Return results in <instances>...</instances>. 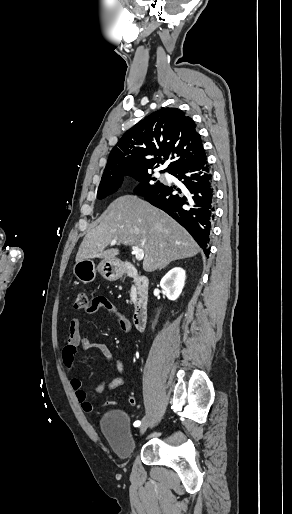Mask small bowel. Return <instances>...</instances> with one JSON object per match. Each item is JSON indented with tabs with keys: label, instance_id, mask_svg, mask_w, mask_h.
<instances>
[{
	"label": "small bowel",
	"instance_id": "1",
	"mask_svg": "<svg viewBox=\"0 0 292 514\" xmlns=\"http://www.w3.org/2000/svg\"><path fill=\"white\" fill-rule=\"evenodd\" d=\"M99 309H105L108 312L114 313L115 308L113 303L104 295H97L92 298L89 309L87 310V313H94L98 311ZM119 324L121 328L126 333L132 332V327L130 324L123 319L122 317H118ZM89 349H96L99 352L102 353V355L105 358L106 362H110L113 360V353L110 347L101 341H91L88 337L83 336L81 334L80 329V319L75 317L72 318L69 323L68 328V338L67 342L62 350V361L66 367V369L69 372H73L76 368L75 363V355L81 351V350H89ZM117 370L119 373V376L113 379L110 383L106 384L103 381H100L97 386L95 387V391L97 393H102L106 389H114L120 385H122L125 381V372H126V363L122 359L117 360ZM70 386L72 390L75 392L76 397L79 401V403L84 404L82 406V409L85 412H90L91 414H94L96 412L97 406L92 407L91 403L88 400V396L86 391L83 389V383L81 379H79L76 376H71L70 378ZM118 396L125 397V392L118 393ZM135 393L133 391H130L128 393V404L130 406H136L138 404V401L134 399ZM104 404L106 406H115L117 404V401L115 399H111V397H108L104 401ZM99 409H104V406H99Z\"/></svg>",
	"mask_w": 292,
	"mask_h": 514
}]
</instances>
